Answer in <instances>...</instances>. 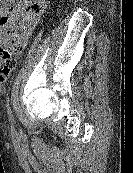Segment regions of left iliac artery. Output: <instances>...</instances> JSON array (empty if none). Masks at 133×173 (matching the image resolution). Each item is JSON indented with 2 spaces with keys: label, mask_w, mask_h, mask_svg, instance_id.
I'll use <instances>...</instances> for the list:
<instances>
[{
  "label": "left iliac artery",
  "mask_w": 133,
  "mask_h": 173,
  "mask_svg": "<svg viewBox=\"0 0 133 173\" xmlns=\"http://www.w3.org/2000/svg\"><path fill=\"white\" fill-rule=\"evenodd\" d=\"M7 102H8V115H9L11 121H13L12 111H11V108L9 107V102H10L9 98L7 99Z\"/></svg>",
  "instance_id": "1"
}]
</instances>
